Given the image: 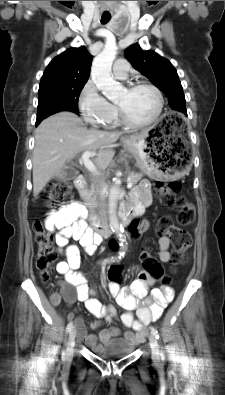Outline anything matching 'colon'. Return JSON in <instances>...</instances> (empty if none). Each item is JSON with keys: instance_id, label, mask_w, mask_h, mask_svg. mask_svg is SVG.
Listing matches in <instances>:
<instances>
[{"instance_id": "1", "label": "colon", "mask_w": 225, "mask_h": 395, "mask_svg": "<svg viewBox=\"0 0 225 395\" xmlns=\"http://www.w3.org/2000/svg\"><path fill=\"white\" fill-rule=\"evenodd\" d=\"M72 190V183L69 179H62L52 182L47 185L44 196L52 208L58 209L61 207L63 199L70 194ZM181 191V184L178 181L172 182H157L156 193L164 205H174L177 209L176 222L181 226H187L195 220V208L184 197L179 196ZM136 221L140 220L139 216L135 217ZM175 224L170 216H163L159 219L156 225V232L158 235H167L170 237L173 245V259L172 263L175 267L181 265L186 260V252L191 246V236L187 230ZM128 235H139V223H128ZM35 232V239L37 244L36 267L40 272L42 281L47 282L50 279V274L53 270L56 260L54 252V238L52 233L45 228L40 221H35L33 224ZM110 251H117L118 246L121 245V238H110ZM143 266H146L147 274L153 275V281H164L165 268H160L159 264L154 260V255L151 250H140ZM123 267L119 265H112L111 271L107 272V279L113 288L121 286L120 280L123 277ZM166 287L170 286L169 282L165 283ZM60 301L59 295H53L52 302L57 304Z\"/></svg>"}]
</instances>
